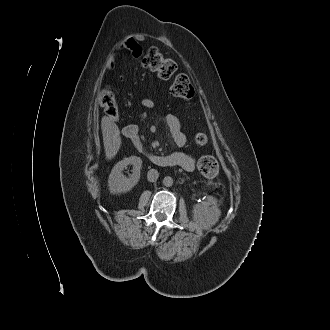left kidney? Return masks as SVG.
<instances>
[{
  "label": "left kidney",
  "instance_id": "left-kidney-1",
  "mask_svg": "<svg viewBox=\"0 0 330 330\" xmlns=\"http://www.w3.org/2000/svg\"><path fill=\"white\" fill-rule=\"evenodd\" d=\"M221 216L216 201L208 198L207 201L196 204L193 207V220L201 229H209L214 226Z\"/></svg>",
  "mask_w": 330,
  "mask_h": 330
}]
</instances>
